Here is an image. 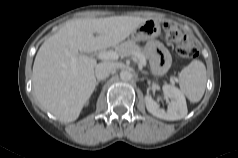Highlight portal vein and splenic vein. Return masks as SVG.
<instances>
[{"mask_svg": "<svg viewBox=\"0 0 238 158\" xmlns=\"http://www.w3.org/2000/svg\"><path fill=\"white\" fill-rule=\"evenodd\" d=\"M69 56L71 58V64L75 66L77 61V56L72 55L70 53H69ZM97 57L101 60H117L119 58V54L116 53L115 51H106V52L99 53ZM135 57L138 58L139 68L142 69L146 65V60L138 54H135Z\"/></svg>", "mask_w": 238, "mask_h": 158, "instance_id": "obj_1", "label": "portal vein and splenic vein"}]
</instances>
